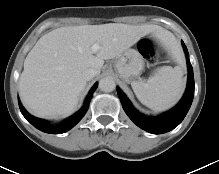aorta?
<instances>
[{"mask_svg":"<svg viewBox=\"0 0 219 174\" xmlns=\"http://www.w3.org/2000/svg\"><path fill=\"white\" fill-rule=\"evenodd\" d=\"M116 84L113 78L105 77L99 81V88L103 92H111L115 89Z\"/></svg>","mask_w":219,"mask_h":174,"instance_id":"obj_1","label":"aorta"}]
</instances>
